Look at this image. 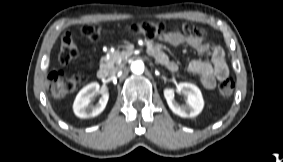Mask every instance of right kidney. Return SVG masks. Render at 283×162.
I'll list each match as a JSON object with an SVG mask.
<instances>
[{"instance_id": "ca27d5eb", "label": "right kidney", "mask_w": 283, "mask_h": 162, "mask_svg": "<svg viewBox=\"0 0 283 162\" xmlns=\"http://www.w3.org/2000/svg\"><path fill=\"white\" fill-rule=\"evenodd\" d=\"M100 90L97 82L85 86L76 96L73 110L76 116L80 118H90L99 115L106 107L109 94L107 91L102 93V97L96 105H91V98Z\"/></svg>"}]
</instances>
